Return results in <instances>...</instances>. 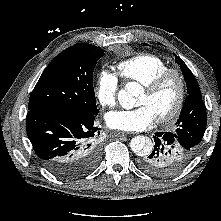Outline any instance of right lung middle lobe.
Instances as JSON below:
<instances>
[{"instance_id":"obj_1","label":"right lung middle lobe","mask_w":221,"mask_h":221,"mask_svg":"<svg viewBox=\"0 0 221 221\" xmlns=\"http://www.w3.org/2000/svg\"><path fill=\"white\" fill-rule=\"evenodd\" d=\"M104 50L87 43L75 44L58 54L46 67L31 93L28 110L96 112L93 70Z\"/></svg>"}]
</instances>
